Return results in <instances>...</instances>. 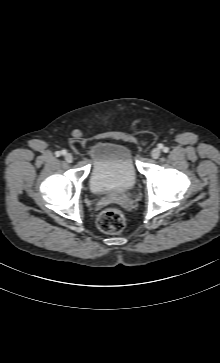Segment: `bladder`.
<instances>
[{"mask_svg":"<svg viewBox=\"0 0 220 363\" xmlns=\"http://www.w3.org/2000/svg\"><path fill=\"white\" fill-rule=\"evenodd\" d=\"M92 157L88 185L94 193H124L138 180L131 147L121 141L98 140L88 146Z\"/></svg>","mask_w":220,"mask_h":363,"instance_id":"bladder-1","label":"bladder"}]
</instances>
